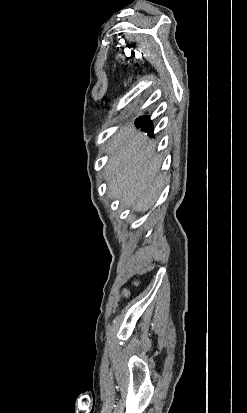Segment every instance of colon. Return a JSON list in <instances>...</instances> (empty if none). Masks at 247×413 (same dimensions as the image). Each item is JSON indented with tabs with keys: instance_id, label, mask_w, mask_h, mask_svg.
Masks as SVG:
<instances>
[{
	"instance_id": "5ec220e1",
	"label": "colon",
	"mask_w": 247,
	"mask_h": 413,
	"mask_svg": "<svg viewBox=\"0 0 247 413\" xmlns=\"http://www.w3.org/2000/svg\"><path fill=\"white\" fill-rule=\"evenodd\" d=\"M139 284V281H135L134 282V285H138ZM122 295L124 296V297H127L128 295H129V288H124L123 289V292H122Z\"/></svg>"
}]
</instances>
